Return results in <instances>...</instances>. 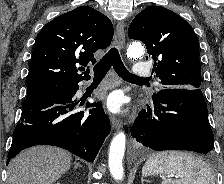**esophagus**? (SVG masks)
Listing matches in <instances>:
<instances>
[{
    "label": "esophagus",
    "mask_w": 224,
    "mask_h": 184,
    "mask_svg": "<svg viewBox=\"0 0 224 184\" xmlns=\"http://www.w3.org/2000/svg\"><path fill=\"white\" fill-rule=\"evenodd\" d=\"M115 44L122 49L125 44V29L123 22L118 23L116 27V34H115ZM110 122L114 129H120L122 126V122L119 118L115 116H110Z\"/></svg>",
    "instance_id": "esophagus-1"
}]
</instances>
